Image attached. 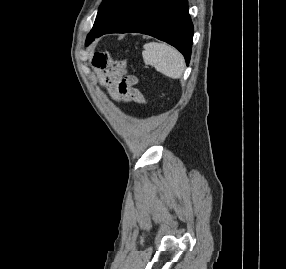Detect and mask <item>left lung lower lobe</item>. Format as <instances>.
<instances>
[{
	"label": "left lung lower lobe",
	"mask_w": 286,
	"mask_h": 269,
	"mask_svg": "<svg viewBox=\"0 0 286 269\" xmlns=\"http://www.w3.org/2000/svg\"><path fill=\"white\" fill-rule=\"evenodd\" d=\"M128 32L143 33L165 41L184 55L187 64L190 61L193 24L187 0H143L117 23L94 37Z\"/></svg>",
	"instance_id": "obj_1"
}]
</instances>
